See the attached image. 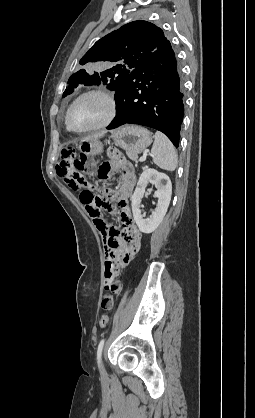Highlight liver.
Returning <instances> with one entry per match:
<instances>
[{"mask_svg":"<svg viewBox=\"0 0 255 418\" xmlns=\"http://www.w3.org/2000/svg\"><path fill=\"white\" fill-rule=\"evenodd\" d=\"M103 135H104V133H97V134L85 137L84 139H82V142L91 141V140H98V138L102 137Z\"/></svg>","mask_w":255,"mask_h":418,"instance_id":"1","label":"liver"}]
</instances>
